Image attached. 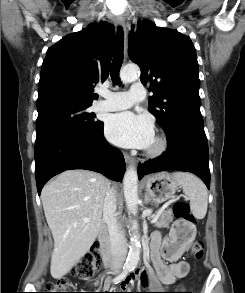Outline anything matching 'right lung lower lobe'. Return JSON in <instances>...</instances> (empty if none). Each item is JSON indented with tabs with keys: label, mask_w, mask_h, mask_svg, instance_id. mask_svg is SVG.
<instances>
[{
	"label": "right lung lower lobe",
	"mask_w": 245,
	"mask_h": 293,
	"mask_svg": "<svg viewBox=\"0 0 245 293\" xmlns=\"http://www.w3.org/2000/svg\"><path fill=\"white\" fill-rule=\"evenodd\" d=\"M72 169L91 170L122 180L124 157L105 140L103 123L91 131L56 136L35 149L38 194L50 178Z\"/></svg>",
	"instance_id": "1"
}]
</instances>
